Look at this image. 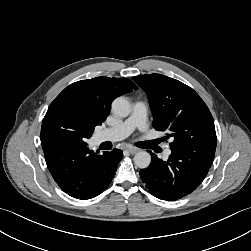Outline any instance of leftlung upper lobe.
Listing matches in <instances>:
<instances>
[{
    "label": "left lung upper lobe",
    "mask_w": 251,
    "mask_h": 251,
    "mask_svg": "<svg viewBox=\"0 0 251 251\" xmlns=\"http://www.w3.org/2000/svg\"><path fill=\"white\" fill-rule=\"evenodd\" d=\"M148 95L153 127L173 138L170 149L216 148L213 117L200 96L182 82L161 74L132 78Z\"/></svg>",
    "instance_id": "obj_1"
}]
</instances>
